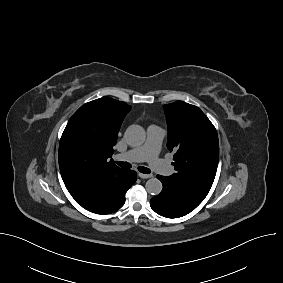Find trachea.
I'll return each instance as SVG.
<instances>
[{"label": "trachea", "instance_id": "3493384b", "mask_svg": "<svg viewBox=\"0 0 283 283\" xmlns=\"http://www.w3.org/2000/svg\"><path fill=\"white\" fill-rule=\"evenodd\" d=\"M121 168H131L132 165L128 162H116ZM138 170L141 172V173H144V174H149L151 171L150 169H148L147 167H144V166H139L138 167Z\"/></svg>", "mask_w": 283, "mask_h": 283}]
</instances>
